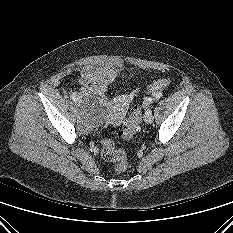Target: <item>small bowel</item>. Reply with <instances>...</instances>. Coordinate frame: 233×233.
<instances>
[{
    "label": "small bowel",
    "mask_w": 233,
    "mask_h": 233,
    "mask_svg": "<svg viewBox=\"0 0 233 233\" xmlns=\"http://www.w3.org/2000/svg\"><path fill=\"white\" fill-rule=\"evenodd\" d=\"M113 78V74H110V76L106 79V80H102L99 84L98 87V92L101 95H104L105 92V88L107 83H109V81ZM133 99L132 95H123L121 97H119L116 102L113 104V111L115 113V117L117 118V120H120L121 117L124 114V111L127 107V105L130 103V101Z\"/></svg>",
    "instance_id": "small-bowel-1"
}]
</instances>
